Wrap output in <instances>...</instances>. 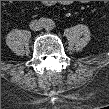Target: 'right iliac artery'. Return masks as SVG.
Instances as JSON below:
<instances>
[{
  "instance_id": "right-iliac-artery-1",
  "label": "right iliac artery",
  "mask_w": 109,
  "mask_h": 109,
  "mask_svg": "<svg viewBox=\"0 0 109 109\" xmlns=\"http://www.w3.org/2000/svg\"><path fill=\"white\" fill-rule=\"evenodd\" d=\"M40 21H41L42 23H45V22H46V19H45V18H41Z\"/></svg>"
}]
</instances>
